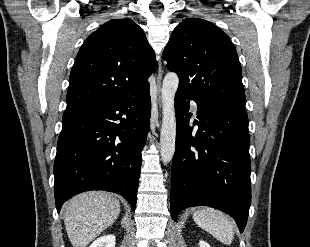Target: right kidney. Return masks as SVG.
Wrapping results in <instances>:
<instances>
[{"mask_svg":"<svg viewBox=\"0 0 310 247\" xmlns=\"http://www.w3.org/2000/svg\"><path fill=\"white\" fill-rule=\"evenodd\" d=\"M115 244V236L108 234L97 238L89 247H115Z\"/></svg>","mask_w":310,"mask_h":247,"instance_id":"ca27d5eb","label":"right kidney"}]
</instances>
